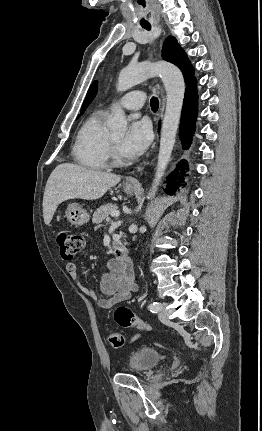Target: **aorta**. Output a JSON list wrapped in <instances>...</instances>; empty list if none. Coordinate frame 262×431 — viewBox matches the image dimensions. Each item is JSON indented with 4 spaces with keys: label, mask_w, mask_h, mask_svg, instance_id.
I'll return each instance as SVG.
<instances>
[{
    "label": "aorta",
    "mask_w": 262,
    "mask_h": 431,
    "mask_svg": "<svg viewBox=\"0 0 262 431\" xmlns=\"http://www.w3.org/2000/svg\"><path fill=\"white\" fill-rule=\"evenodd\" d=\"M153 76H160L165 86L166 108L162 122L156 172L148 196L151 199L155 196L158 185L165 174L176 141L185 94L184 78L181 71L170 63L144 62L123 68L117 82V90L124 92ZM107 125L113 135L124 134L127 129L125 112L117 107Z\"/></svg>",
    "instance_id": "aorta-1"
}]
</instances>
